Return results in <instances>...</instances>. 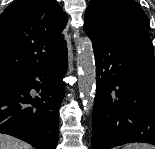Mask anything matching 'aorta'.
<instances>
[{
    "mask_svg": "<svg viewBox=\"0 0 155 149\" xmlns=\"http://www.w3.org/2000/svg\"><path fill=\"white\" fill-rule=\"evenodd\" d=\"M78 87L84 108L87 112L92 110L96 86V66L93 45L89 38H84L77 55Z\"/></svg>",
    "mask_w": 155,
    "mask_h": 149,
    "instance_id": "obj_1",
    "label": "aorta"
}]
</instances>
